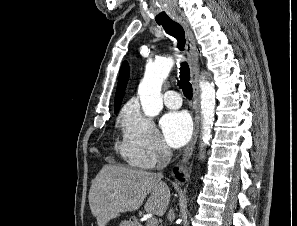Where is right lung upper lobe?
<instances>
[{"mask_svg":"<svg viewBox=\"0 0 297 226\" xmlns=\"http://www.w3.org/2000/svg\"><path fill=\"white\" fill-rule=\"evenodd\" d=\"M128 79H129V65H128L127 61H125V62H123L122 66L120 68L119 80H118V85H117V90H116V95H115L114 108L120 107V105H121Z\"/></svg>","mask_w":297,"mask_h":226,"instance_id":"cb5924a9","label":"right lung upper lobe"}]
</instances>
